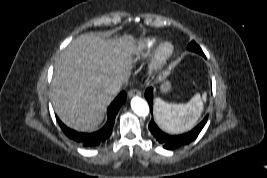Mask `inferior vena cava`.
<instances>
[{
  "mask_svg": "<svg viewBox=\"0 0 267 178\" xmlns=\"http://www.w3.org/2000/svg\"><path fill=\"white\" fill-rule=\"evenodd\" d=\"M127 82H128L127 78L115 81L109 85L108 91L111 94L116 95L117 93H119L122 90V88H124L126 86Z\"/></svg>",
  "mask_w": 267,
  "mask_h": 178,
  "instance_id": "obj_1",
  "label": "inferior vena cava"
}]
</instances>
